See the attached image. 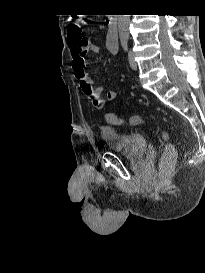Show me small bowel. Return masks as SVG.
<instances>
[{"label": "small bowel", "mask_w": 205, "mask_h": 273, "mask_svg": "<svg viewBox=\"0 0 205 273\" xmlns=\"http://www.w3.org/2000/svg\"><path fill=\"white\" fill-rule=\"evenodd\" d=\"M106 50L111 55H115L118 51V40L112 31H108L106 35ZM70 51L73 59V73L83 94L90 100L94 108L102 109L106 101H112L117 97V91L109 90L106 98H102L103 87H94L92 77L85 70L86 55L88 53H99L100 47L91 40L87 42L85 47L70 42Z\"/></svg>", "instance_id": "obj_1"}]
</instances>
